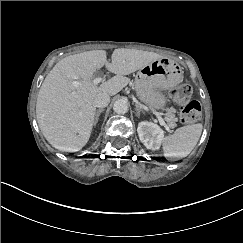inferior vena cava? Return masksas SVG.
<instances>
[{
    "mask_svg": "<svg viewBox=\"0 0 243 243\" xmlns=\"http://www.w3.org/2000/svg\"><path fill=\"white\" fill-rule=\"evenodd\" d=\"M110 102V96L106 93H99L94 100L95 107H106Z\"/></svg>",
    "mask_w": 243,
    "mask_h": 243,
    "instance_id": "obj_1",
    "label": "inferior vena cava"
}]
</instances>
